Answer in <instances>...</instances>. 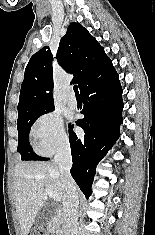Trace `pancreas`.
Segmentation results:
<instances>
[{"label":"pancreas","mask_w":155,"mask_h":235,"mask_svg":"<svg viewBox=\"0 0 155 235\" xmlns=\"http://www.w3.org/2000/svg\"><path fill=\"white\" fill-rule=\"evenodd\" d=\"M58 227V223L57 221H52L50 224H49V230H56Z\"/></svg>","instance_id":"pancreas-1"}]
</instances>
